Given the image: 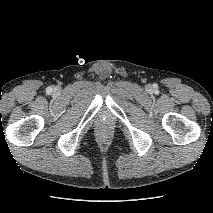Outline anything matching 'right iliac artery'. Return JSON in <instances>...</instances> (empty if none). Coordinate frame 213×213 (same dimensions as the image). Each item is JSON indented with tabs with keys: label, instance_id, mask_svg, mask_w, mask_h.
<instances>
[{
	"label": "right iliac artery",
	"instance_id": "right-iliac-artery-1",
	"mask_svg": "<svg viewBox=\"0 0 213 213\" xmlns=\"http://www.w3.org/2000/svg\"><path fill=\"white\" fill-rule=\"evenodd\" d=\"M51 91V88H48V92H50Z\"/></svg>",
	"mask_w": 213,
	"mask_h": 213
}]
</instances>
